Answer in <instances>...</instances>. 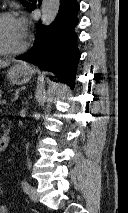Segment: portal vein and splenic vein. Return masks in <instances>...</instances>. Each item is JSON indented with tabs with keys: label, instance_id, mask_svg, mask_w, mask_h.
<instances>
[{
	"label": "portal vein and splenic vein",
	"instance_id": "18ae733b",
	"mask_svg": "<svg viewBox=\"0 0 128 213\" xmlns=\"http://www.w3.org/2000/svg\"><path fill=\"white\" fill-rule=\"evenodd\" d=\"M1 103H2V104H6V101H5V100H2Z\"/></svg>",
	"mask_w": 128,
	"mask_h": 213
}]
</instances>
